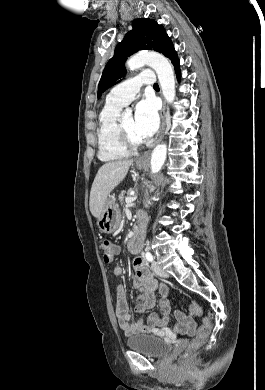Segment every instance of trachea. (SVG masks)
Segmentation results:
<instances>
[{
  "label": "trachea",
  "mask_w": 265,
  "mask_h": 390,
  "mask_svg": "<svg viewBox=\"0 0 265 390\" xmlns=\"http://www.w3.org/2000/svg\"><path fill=\"white\" fill-rule=\"evenodd\" d=\"M153 87H154V88H159V86H158L157 83H155V84L153 85Z\"/></svg>",
  "instance_id": "3493384b"
}]
</instances>
